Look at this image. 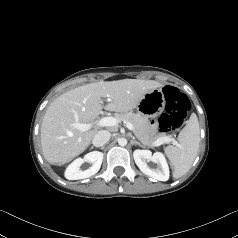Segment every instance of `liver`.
Returning a JSON list of instances; mask_svg holds the SVG:
<instances>
[{
	"label": "liver",
	"mask_w": 238,
	"mask_h": 238,
	"mask_svg": "<svg viewBox=\"0 0 238 238\" xmlns=\"http://www.w3.org/2000/svg\"><path fill=\"white\" fill-rule=\"evenodd\" d=\"M162 85L153 80L99 81L74 88L56 98L47 108L41 125L44 158L63 165L84 152L97 130L80 131L75 123L94 121L104 108L127 112L137 107L144 95ZM109 102L102 105L101 98Z\"/></svg>",
	"instance_id": "liver-1"
}]
</instances>
